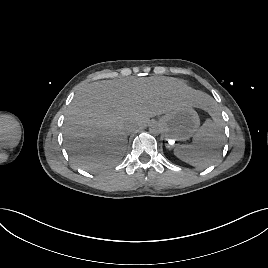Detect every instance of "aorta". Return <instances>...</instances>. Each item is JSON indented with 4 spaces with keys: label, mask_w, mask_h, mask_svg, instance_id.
I'll return each mask as SVG.
<instances>
[{
    "label": "aorta",
    "mask_w": 268,
    "mask_h": 268,
    "mask_svg": "<svg viewBox=\"0 0 268 268\" xmlns=\"http://www.w3.org/2000/svg\"><path fill=\"white\" fill-rule=\"evenodd\" d=\"M163 128L161 126V124L155 122V123H152L149 127V132L153 135H157V134H160L162 132Z\"/></svg>",
    "instance_id": "762f6f07"
}]
</instances>
